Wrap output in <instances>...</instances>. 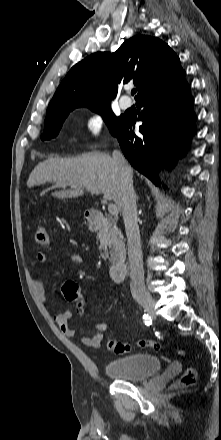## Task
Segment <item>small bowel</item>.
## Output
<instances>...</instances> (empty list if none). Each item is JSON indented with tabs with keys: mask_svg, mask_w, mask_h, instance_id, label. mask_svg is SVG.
Masks as SVG:
<instances>
[{
	"mask_svg": "<svg viewBox=\"0 0 221 440\" xmlns=\"http://www.w3.org/2000/svg\"><path fill=\"white\" fill-rule=\"evenodd\" d=\"M67 260L72 264H81L83 259L81 255L79 254H70L67 256ZM47 263V256L44 252H39L35 258L31 261L30 267L32 270V280L33 285L35 288V291L37 295L46 302V296H45V287L44 282L42 278V268ZM72 313L71 311H65V312H54L52 313V319L57 324L59 329L68 337L75 338L79 337L80 341L83 345L97 348L100 346L103 334L107 329L106 323H99L96 325V328L98 329V333L90 336V335H82L78 336L77 331L69 324V319L71 318Z\"/></svg>",
	"mask_w": 221,
	"mask_h": 440,
	"instance_id": "c3829d8e",
	"label": "small bowel"
}]
</instances>
